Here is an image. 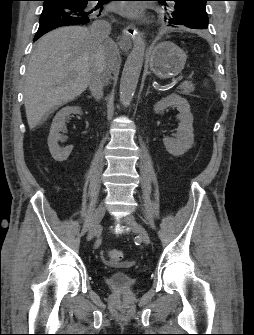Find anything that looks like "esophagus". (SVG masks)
<instances>
[{
  "instance_id": "34e87169",
  "label": "esophagus",
  "mask_w": 254,
  "mask_h": 335,
  "mask_svg": "<svg viewBox=\"0 0 254 335\" xmlns=\"http://www.w3.org/2000/svg\"><path fill=\"white\" fill-rule=\"evenodd\" d=\"M139 35L138 29L133 25H126L122 29V35L119 39V46L123 50L130 49L132 45V40H134Z\"/></svg>"
}]
</instances>
